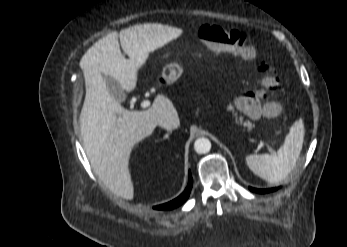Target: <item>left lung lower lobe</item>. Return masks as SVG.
I'll use <instances>...</instances> for the list:
<instances>
[{
  "label": "left lung lower lobe",
  "mask_w": 347,
  "mask_h": 247,
  "mask_svg": "<svg viewBox=\"0 0 347 247\" xmlns=\"http://www.w3.org/2000/svg\"><path fill=\"white\" fill-rule=\"evenodd\" d=\"M251 191L256 192V193H268V192H273L277 190L278 188H271V189H255V188H249Z\"/></svg>",
  "instance_id": "obj_1"
}]
</instances>
